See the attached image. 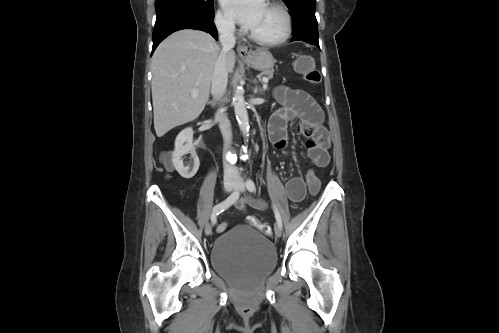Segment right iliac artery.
<instances>
[{
	"label": "right iliac artery",
	"mask_w": 499,
	"mask_h": 333,
	"mask_svg": "<svg viewBox=\"0 0 499 333\" xmlns=\"http://www.w3.org/2000/svg\"><path fill=\"white\" fill-rule=\"evenodd\" d=\"M238 198H239V192L235 190L226 200L215 205L212 210L211 221L213 223L216 222L217 216L220 213H222L224 210L229 208L232 204H234L238 200Z\"/></svg>",
	"instance_id": "1"
}]
</instances>
